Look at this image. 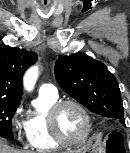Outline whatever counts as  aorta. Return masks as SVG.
<instances>
[{"label": "aorta", "mask_w": 130, "mask_h": 153, "mask_svg": "<svg viewBox=\"0 0 130 153\" xmlns=\"http://www.w3.org/2000/svg\"><path fill=\"white\" fill-rule=\"evenodd\" d=\"M38 75H39V67L36 65L30 67L26 71L24 78H23V85H24L25 90L30 92L34 89V86L38 79Z\"/></svg>", "instance_id": "aorta-1"}]
</instances>
